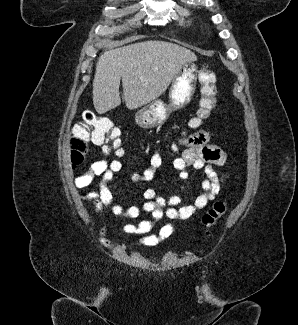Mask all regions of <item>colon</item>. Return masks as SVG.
Masks as SVG:
<instances>
[{"label": "colon", "mask_w": 298, "mask_h": 325, "mask_svg": "<svg viewBox=\"0 0 298 325\" xmlns=\"http://www.w3.org/2000/svg\"><path fill=\"white\" fill-rule=\"evenodd\" d=\"M200 84V104L197 115L190 121L191 127H198L207 119L215 106L216 75L211 65L204 64L198 72ZM71 138V163L73 167L81 164L88 152L89 144L104 145L106 151L114 150L122 154L120 148V131L113 122L106 117L91 112L81 114L80 120L72 127ZM226 210L223 201H217L203 215V224L210 228L222 217Z\"/></svg>", "instance_id": "obj_1"}]
</instances>
